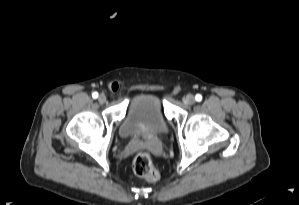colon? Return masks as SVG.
<instances>
[{
  "label": "colon",
  "mask_w": 299,
  "mask_h": 205,
  "mask_svg": "<svg viewBox=\"0 0 299 205\" xmlns=\"http://www.w3.org/2000/svg\"><path fill=\"white\" fill-rule=\"evenodd\" d=\"M132 168L137 177L147 182H155L159 179V173L146 152L138 151L134 154Z\"/></svg>",
  "instance_id": "5ec220e1"
}]
</instances>
